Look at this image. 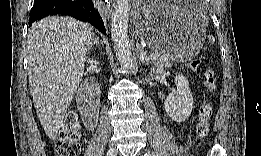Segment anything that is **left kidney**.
<instances>
[{
  "mask_svg": "<svg viewBox=\"0 0 261 156\" xmlns=\"http://www.w3.org/2000/svg\"><path fill=\"white\" fill-rule=\"evenodd\" d=\"M175 84L177 90L167 96L164 108L172 120L180 123L190 116L193 109V97L189 82L185 76L182 74L176 75Z\"/></svg>",
  "mask_w": 261,
  "mask_h": 156,
  "instance_id": "left-kidney-1",
  "label": "left kidney"
}]
</instances>
